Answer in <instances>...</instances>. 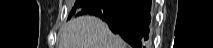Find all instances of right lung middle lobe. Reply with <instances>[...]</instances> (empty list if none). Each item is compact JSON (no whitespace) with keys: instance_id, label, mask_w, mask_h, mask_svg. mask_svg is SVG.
I'll return each instance as SVG.
<instances>
[{"instance_id":"obj_1","label":"right lung middle lobe","mask_w":213,"mask_h":48,"mask_svg":"<svg viewBox=\"0 0 213 48\" xmlns=\"http://www.w3.org/2000/svg\"><path fill=\"white\" fill-rule=\"evenodd\" d=\"M87 2V0H76L74 7L72 8L68 19L71 18L72 15L76 14L79 15V12L81 11L82 6Z\"/></svg>"}]
</instances>
